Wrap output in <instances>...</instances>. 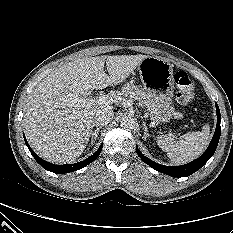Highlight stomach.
Returning <instances> with one entry per match:
<instances>
[{
  "instance_id": "obj_1",
  "label": "stomach",
  "mask_w": 233,
  "mask_h": 233,
  "mask_svg": "<svg viewBox=\"0 0 233 233\" xmlns=\"http://www.w3.org/2000/svg\"><path fill=\"white\" fill-rule=\"evenodd\" d=\"M141 82L152 101L160 106L163 117L160 122H168L181 115L172 105L174 96L173 65L166 59L149 56L138 66Z\"/></svg>"
}]
</instances>
